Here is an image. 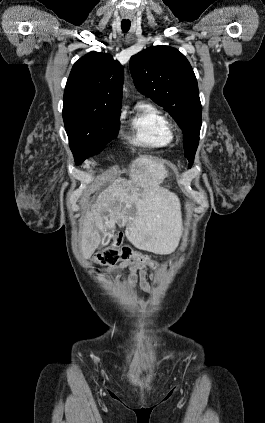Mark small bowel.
Wrapping results in <instances>:
<instances>
[{"label": "small bowel", "mask_w": 265, "mask_h": 423, "mask_svg": "<svg viewBox=\"0 0 265 423\" xmlns=\"http://www.w3.org/2000/svg\"><path fill=\"white\" fill-rule=\"evenodd\" d=\"M123 268H128L131 272L130 276V287L134 288L137 283H140V285L146 289L149 290V285L147 283L146 279V271H145V265L135 263V262H122L118 266L110 268V273L113 275L118 274ZM139 275H138V274Z\"/></svg>", "instance_id": "c3829d8e"}]
</instances>
